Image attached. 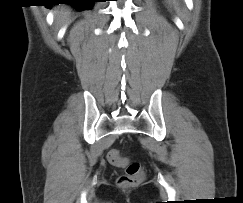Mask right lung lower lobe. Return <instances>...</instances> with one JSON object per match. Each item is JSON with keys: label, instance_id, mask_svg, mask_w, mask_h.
Returning a JSON list of instances; mask_svg holds the SVG:
<instances>
[{"label": "right lung lower lobe", "instance_id": "obj_1", "mask_svg": "<svg viewBox=\"0 0 243 203\" xmlns=\"http://www.w3.org/2000/svg\"><path fill=\"white\" fill-rule=\"evenodd\" d=\"M59 1H60L59 3H63V4H72L77 8L82 7V8L90 9L92 8L93 2H100L102 0H59Z\"/></svg>", "mask_w": 243, "mask_h": 203}]
</instances>
